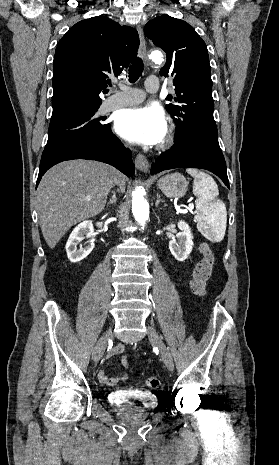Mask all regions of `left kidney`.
<instances>
[{"mask_svg": "<svg viewBox=\"0 0 279 465\" xmlns=\"http://www.w3.org/2000/svg\"><path fill=\"white\" fill-rule=\"evenodd\" d=\"M178 228L181 232L169 242V250L178 261H184L190 255L193 249V236L189 225L184 221L178 222Z\"/></svg>", "mask_w": 279, "mask_h": 465, "instance_id": "1", "label": "left kidney"}]
</instances>
